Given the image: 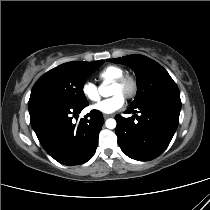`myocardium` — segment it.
Returning <instances> with one entry per match:
<instances>
[{"mask_svg": "<svg viewBox=\"0 0 210 210\" xmlns=\"http://www.w3.org/2000/svg\"><path fill=\"white\" fill-rule=\"evenodd\" d=\"M112 85L124 89L123 96L127 99H132L138 91V82L136 78L129 74H123L112 82Z\"/></svg>", "mask_w": 210, "mask_h": 210, "instance_id": "1", "label": "myocardium"}]
</instances>
